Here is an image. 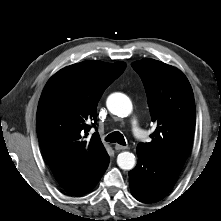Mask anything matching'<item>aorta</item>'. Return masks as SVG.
<instances>
[{
  "mask_svg": "<svg viewBox=\"0 0 221 221\" xmlns=\"http://www.w3.org/2000/svg\"><path fill=\"white\" fill-rule=\"evenodd\" d=\"M108 110L119 117H126L132 112V102L125 94L113 93L106 102ZM135 156L131 152H121L117 156V164L123 170H131L135 166Z\"/></svg>",
  "mask_w": 221,
  "mask_h": 221,
  "instance_id": "aorta-1",
  "label": "aorta"
}]
</instances>
